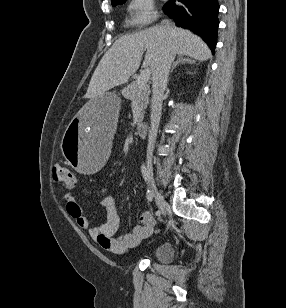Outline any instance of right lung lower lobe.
Wrapping results in <instances>:
<instances>
[{"mask_svg": "<svg viewBox=\"0 0 286 308\" xmlns=\"http://www.w3.org/2000/svg\"><path fill=\"white\" fill-rule=\"evenodd\" d=\"M182 5L169 1L164 6L165 13L179 27L198 34L214 53L217 43L219 5L217 0H178Z\"/></svg>", "mask_w": 286, "mask_h": 308, "instance_id": "1", "label": "right lung lower lobe"}]
</instances>
